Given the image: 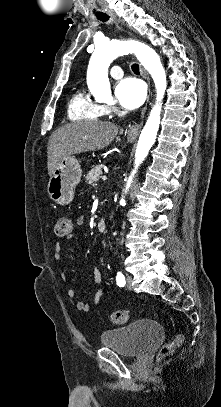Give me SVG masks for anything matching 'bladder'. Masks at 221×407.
Returning a JSON list of instances; mask_svg holds the SVG:
<instances>
[{
  "label": "bladder",
  "instance_id": "obj_1",
  "mask_svg": "<svg viewBox=\"0 0 221 407\" xmlns=\"http://www.w3.org/2000/svg\"><path fill=\"white\" fill-rule=\"evenodd\" d=\"M162 333L163 327L157 319H141L122 328L103 331L100 343L121 355L136 357L146 351Z\"/></svg>",
  "mask_w": 221,
  "mask_h": 407
}]
</instances>
